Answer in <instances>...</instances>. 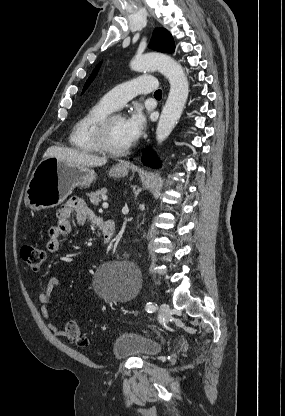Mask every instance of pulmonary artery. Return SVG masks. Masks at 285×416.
Returning a JSON list of instances; mask_svg holds the SVG:
<instances>
[{"mask_svg": "<svg viewBox=\"0 0 285 416\" xmlns=\"http://www.w3.org/2000/svg\"><path fill=\"white\" fill-rule=\"evenodd\" d=\"M156 85L157 81L153 76L142 75L116 87H111L102 100L111 109H118L122 102H132L136 94L149 93L155 89ZM129 86H133L134 90Z\"/></svg>", "mask_w": 285, "mask_h": 416, "instance_id": "obj_1", "label": "pulmonary artery"}]
</instances>
